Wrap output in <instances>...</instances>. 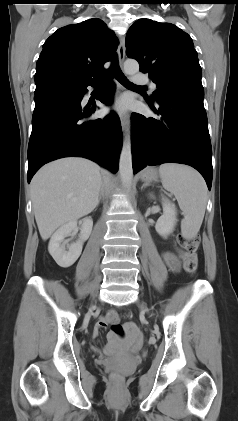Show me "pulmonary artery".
<instances>
[{"mask_svg": "<svg viewBox=\"0 0 238 421\" xmlns=\"http://www.w3.org/2000/svg\"><path fill=\"white\" fill-rule=\"evenodd\" d=\"M133 80L136 84H140V85H148L150 90L153 92L156 88V85L154 83H151L149 81V79L143 75H135L133 77Z\"/></svg>", "mask_w": 238, "mask_h": 421, "instance_id": "1", "label": "pulmonary artery"}]
</instances>
